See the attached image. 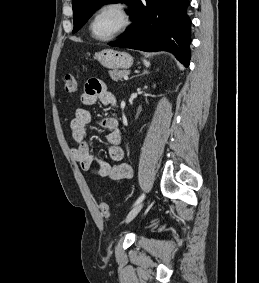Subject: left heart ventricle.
Masks as SVG:
<instances>
[{
    "instance_id": "b2bd125f",
    "label": "left heart ventricle",
    "mask_w": 259,
    "mask_h": 283,
    "mask_svg": "<svg viewBox=\"0 0 259 283\" xmlns=\"http://www.w3.org/2000/svg\"><path fill=\"white\" fill-rule=\"evenodd\" d=\"M122 24L120 13L110 9L101 13L93 23V33L97 37H107L113 34Z\"/></svg>"
}]
</instances>
